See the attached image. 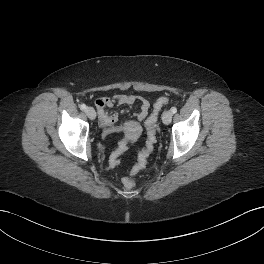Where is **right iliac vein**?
Instances as JSON below:
<instances>
[{"instance_id": "1", "label": "right iliac vein", "mask_w": 264, "mask_h": 264, "mask_svg": "<svg viewBox=\"0 0 264 264\" xmlns=\"http://www.w3.org/2000/svg\"><path fill=\"white\" fill-rule=\"evenodd\" d=\"M85 113L92 120L96 118V112L92 107H87Z\"/></svg>"}]
</instances>
